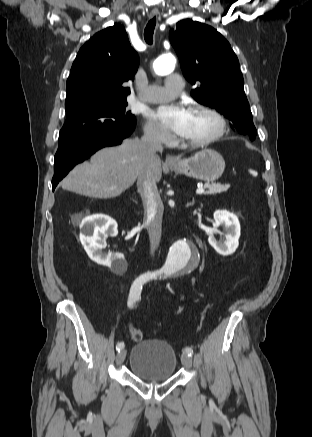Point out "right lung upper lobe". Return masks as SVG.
Masks as SVG:
<instances>
[{"label": "right lung upper lobe", "instance_id": "1", "mask_svg": "<svg viewBox=\"0 0 312 437\" xmlns=\"http://www.w3.org/2000/svg\"><path fill=\"white\" fill-rule=\"evenodd\" d=\"M138 64V54L121 24L96 33L74 60L67 79L65 106L126 101L130 89L122 84L133 80Z\"/></svg>", "mask_w": 312, "mask_h": 437}]
</instances>
